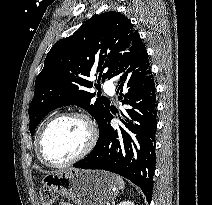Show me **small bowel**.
I'll return each mask as SVG.
<instances>
[{"label": "small bowel", "instance_id": "c3829d8e", "mask_svg": "<svg viewBox=\"0 0 212 205\" xmlns=\"http://www.w3.org/2000/svg\"><path fill=\"white\" fill-rule=\"evenodd\" d=\"M59 205H72V204L63 202V203H60Z\"/></svg>", "mask_w": 212, "mask_h": 205}]
</instances>
